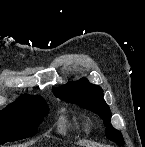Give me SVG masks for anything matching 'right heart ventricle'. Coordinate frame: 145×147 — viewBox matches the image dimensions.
Returning <instances> with one entry per match:
<instances>
[{
    "label": "right heart ventricle",
    "instance_id": "right-heart-ventricle-1",
    "mask_svg": "<svg viewBox=\"0 0 145 147\" xmlns=\"http://www.w3.org/2000/svg\"><path fill=\"white\" fill-rule=\"evenodd\" d=\"M73 127L72 121L67 117L62 115L58 121V129L61 133H65L68 129Z\"/></svg>",
    "mask_w": 145,
    "mask_h": 147
}]
</instances>
